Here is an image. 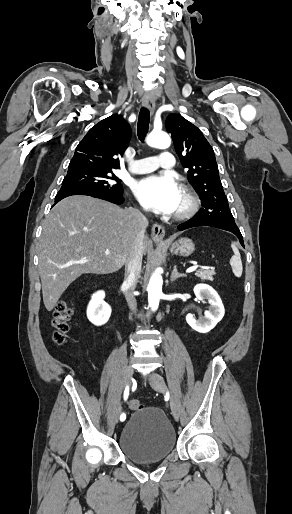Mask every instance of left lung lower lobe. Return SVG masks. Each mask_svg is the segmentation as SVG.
<instances>
[{"label": "left lung lower lobe", "instance_id": "left-lung-lower-lobe-1", "mask_svg": "<svg viewBox=\"0 0 292 514\" xmlns=\"http://www.w3.org/2000/svg\"><path fill=\"white\" fill-rule=\"evenodd\" d=\"M197 226H211V227H216V228H219V229L230 231V232L234 233L238 237V239L240 240L241 245L244 246L243 237H242V235L240 233V230H239V228L237 226H230V225H227L225 223H221V222H217V221H213V220H198L196 218V216H194L190 220L180 224L178 226V230L182 231V230H185V229H188V228H191V227H197Z\"/></svg>", "mask_w": 292, "mask_h": 514}]
</instances>
